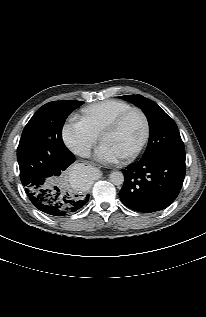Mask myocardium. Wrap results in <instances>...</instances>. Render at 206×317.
Wrapping results in <instances>:
<instances>
[{"instance_id":"1","label":"myocardium","mask_w":206,"mask_h":317,"mask_svg":"<svg viewBox=\"0 0 206 317\" xmlns=\"http://www.w3.org/2000/svg\"><path fill=\"white\" fill-rule=\"evenodd\" d=\"M133 113H138L141 116V118L143 120L144 131H143V136H142V139H141L139 145L134 150H132L129 154L122 157L124 160H131V159L136 158L137 156H139L143 152V150L145 149V147L148 144V141L150 138L151 128H150L149 118H148L147 114L145 113V111L143 109H141L140 107H131L130 109L122 112L121 114L116 116L114 119H112L105 126V128L102 130V132L100 134V140L103 142V138L107 134H110V133L116 131L122 125V123Z\"/></svg>"}]
</instances>
